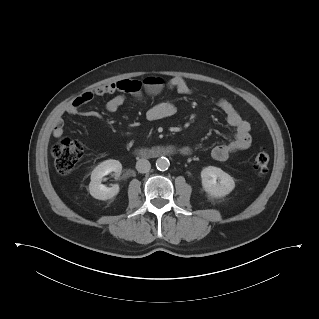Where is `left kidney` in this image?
Instances as JSON below:
<instances>
[{"mask_svg": "<svg viewBox=\"0 0 319 319\" xmlns=\"http://www.w3.org/2000/svg\"><path fill=\"white\" fill-rule=\"evenodd\" d=\"M201 179L204 190L213 197H224L235 187L233 178L214 166L205 167L201 171Z\"/></svg>", "mask_w": 319, "mask_h": 319, "instance_id": "left-kidney-1", "label": "left kidney"}]
</instances>
